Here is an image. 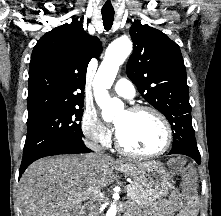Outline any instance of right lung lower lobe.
I'll return each mask as SVG.
<instances>
[{"label": "right lung lower lobe", "mask_w": 221, "mask_h": 216, "mask_svg": "<svg viewBox=\"0 0 221 216\" xmlns=\"http://www.w3.org/2000/svg\"><path fill=\"white\" fill-rule=\"evenodd\" d=\"M89 152H91V150L85 146L83 140L65 141L53 144L33 154L23 157L19 170V177H21L25 169L32 162L42 157L59 155V154H78V153H89Z\"/></svg>", "instance_id": "1"}]
</instances>
